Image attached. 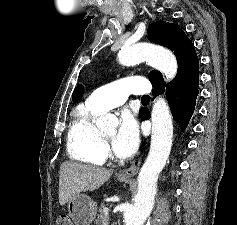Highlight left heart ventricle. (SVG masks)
<instances>
[{
  "label": "left heart ventricle",
  "instance_id": "obj_1",
  "mask_svg": "<svg viewBox=\"0 0 237 225\" xmlns=\"http://www.w3.org/2000/svg\"><path fill=\"white\" fill-rule=\"evenodd\" d=\"M115 134H116V130L113 129V130L105 132L104 136L108 141H112L115 137Z\"/></svg>",
  "mask_w": 237,
  "mask_h": 225
}]
</instances>
